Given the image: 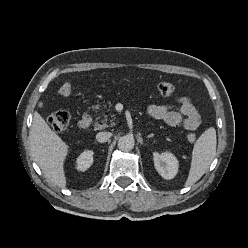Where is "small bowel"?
I'll list each match as a JSON object with an SVG mask.
<instances>
[{
	"mask_svg": "<svg viewBox=\"0 0 248 248\" xmlns=\"http://www.w3.org/2000/svg\"><path fill=\"white\" fill-rule=\"evenodd\" d=\"M173 101L175 108L171 105L149 106V116L162 120L171 127L183 126L187 130H196L200 125V114L193 100L187 96H176Z\"/></svg>",
	"mask_w": 248,
	"mask_h": 248,
	"instance_id": "small-bowel-1",
	"label": "small bowel"
}]
</instances>
